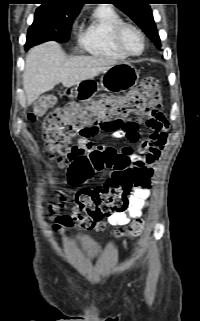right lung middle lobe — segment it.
<instances>
[{
	"mask_svg": "<svg viewBox=\"0 0 200 321\" xmlns=\"http://www.w3.org/2000/svg\"><path fill=\"white\" fill-rule=\"evenodd\" d=\"M79 12L55 14L47 7H39L27 32L25 49L49 41L67 42L73 20Z\"/></svg>",
	"mask_w": 200,
	"mask_h": 321,
	"instance_id": "dd1d6c3e",
	"label": "right lung middle lobe"
}]
</instances>
